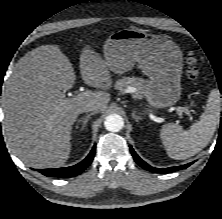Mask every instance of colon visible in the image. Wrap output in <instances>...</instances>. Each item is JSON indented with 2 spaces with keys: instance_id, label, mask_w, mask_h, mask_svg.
<instances>
[{
  "instance_id": "5ec220e1",
  "label": "colon",
  "mask_w": 222,
  "mask_h": 219,
  "mask_svg": "<svg viewBox=\"0 0 222 219\" xmlns=\"http://www.w3.org/2000/svg\"><path fill=\"white\" fill-rule=\"evenodd\" d=\"M186 75L193 83H196L199 78L198 62L196 57L192 54L187 58Z\"/></svg>"
}]
</instances>
